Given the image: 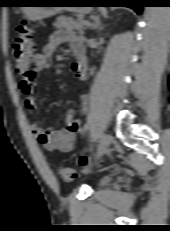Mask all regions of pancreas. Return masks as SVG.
Listing matches in <instances>:
<instances>
[{
  "label": "pancreas",
  "instance_id": "obj_1",
  "mask_svg": "<svg viewBox=\"0 0 170 231\" xmlns=\"http://www.w3.org/2000/svg\"><path fill=\"white\" fill-rule=\"evenodd\" d=\"M54 26L58 29L76 30L79 32H83L85 29V25L82 23L81 18L74 20L73 18L63 15L57 17Z\"/></svg>",
  "mask_w": 170,
  "mask_h": 231
}]
</instances>
